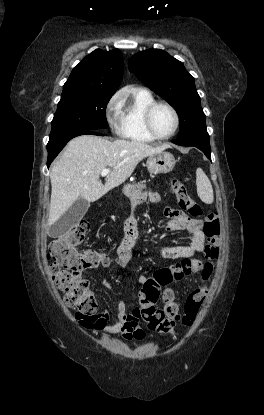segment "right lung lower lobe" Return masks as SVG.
Returning <instances> with one entry per match:
<instances>
[{"label":"right lung lower lobe","instance_id":"right-lung-lower-lobe-1","mask_svg":"<svg viewBox=\"0 0 264 415\" xmlns=\"http://www.w3.org/2000/svg\"><path fill=\"white\" fill-rule=\"evenodd\" d=\"M85 134H92V135H102L100 133H96L94 131H84L81 133H78L76 135H73L55 145H53L52 147H48V160H47V167L49 168L51 162L55 159V157L59 154V152L64 148V146L67 144V142L69 140H71L72 138L79 136V135H85Z\"/></svg>","mask_w":264,"mask_h":415}]
</instances>
